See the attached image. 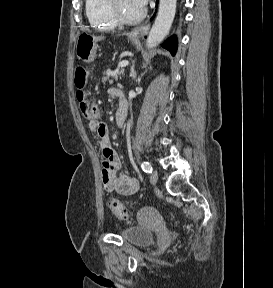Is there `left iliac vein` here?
<instances>
[{
	"mask_svg": "<svg viewBox=\"0 0 273 288\" xmlns=\"http://www.w3.org/2000/svg\"><path fill=\"white\" fill-rule=\"evenodd\" d=\"M158 180V173L156 171H153L150 173V181L152 184H156Z\"/></svg>",
	"mask_w": 273,
	"mask_h": 288,
	"instance_id": "left-iliac-vein-1",
	"label": "left iliac vein"
}]
</instances>
